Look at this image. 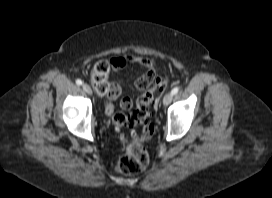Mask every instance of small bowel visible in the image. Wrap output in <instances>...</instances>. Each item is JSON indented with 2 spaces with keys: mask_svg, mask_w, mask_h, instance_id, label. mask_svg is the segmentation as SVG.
<instances>
[{
  "mask_svg": "<svg viewBox=\"0 0 272 198\" xmlns=\"http://www.w3.org/2000/svg\"><path fill=\"white\" fill-rule=\"evenodd\" d=\"M112 65H113V69L114 70H121L123 69L127 63H133V64H137L139 66H141L144 69V73L143 75L136 81V87L139 88L137 86V82L141 79H145V78H156L155 77V71L153 68V65L151 63V61L149 59H147L146 57L143 56H137V55H126L124 57H118L115 58L111 61ZM141 89V88H139ZM144 90V93L142 94V96L147 95L148 93L152 94L153 91L152 90H146V89H141ZM121 94V88L118 84L113 83L112 86V90L111 93H109L108 95L105 96V113L107 115H111L114 111V101H116L118 99V97ZM141 96V97H142ZM120 106L121 108L128 110L132 107V100L130 97H123L120 100Z\"/></svg>",
  "mask_w": 272,
  "mask_h": 198,
  "instance_id": "obj_1",
  "label": "small bowel"
}]
</instances>
